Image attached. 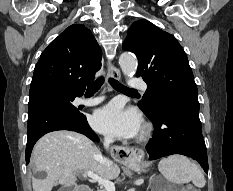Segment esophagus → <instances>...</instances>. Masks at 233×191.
Instances as JSON below:
<instances>
[{
    "instance_id": "esophagus-1",
    "label": "esophagus",
    "mask_w": 233,
    "mask_h": 191,
    "mask_svg": "<svg viewBox=\"0 0 233 191\" xmlns=\"http://www.w3.org/2000/svg\"><path fill=\"white\" fill-rule=\"evenodd\" d=\"M108 76L115 80H120L121 73L120 70L114 66L112 62H108ZM114 158L118 164H129L140 162L144 152L141 149L129 148L123 146H114L113 147Z\"/></svg>"
}]
</instances>
